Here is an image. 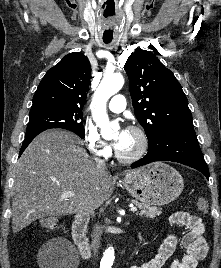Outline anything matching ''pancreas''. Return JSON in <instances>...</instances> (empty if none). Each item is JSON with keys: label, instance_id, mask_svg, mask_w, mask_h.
Instances as JSON below:
<instances>
[{"label": "pancreas", "instance_id": "obj_1", "mask_svg": "<svg viewBox=\"0 0 221 268\" xmlns=\"http://www.w3.org/2000/svg\"><path fill=\"white\" fill-rule=\"evenodd\" d=\"M132 203L139 207L140 216H143L146 218H155L156 216H159L162 213L161 209H159L158 207H151V206L145 205L144 203H140L136 200H133Z\"/></svg>", "mask_w": 221, "mask_h": 268}]
</instances>
